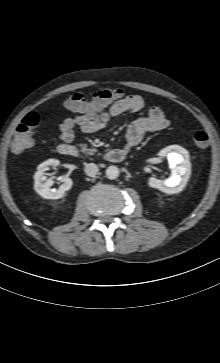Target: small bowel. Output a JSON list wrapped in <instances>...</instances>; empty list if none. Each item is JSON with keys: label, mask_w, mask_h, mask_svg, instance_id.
Masks as SVG:
<instances>
[{"label": "small bowel", "mask_w": 220, "mask_h": 363, "mask_svg": "<svg viewBox=\"0 0 220 363\" xmlns=\"http://www.w3.org/2000/svg\"><path fill=\"white\" fill-rule=\"evenodd\" d=\"M146 106L145 100L139 95H127L108 105H100L94 99L87 100L82 110L66 118L58 124L59 138L64 143H71L74 130L79 128L84 133L92 134L105 128L111 120L121 114H135ZM169 126V120L160 107H150L147 113L136 119L126 133V146L138 145L148 133L161 131Z\"/></svg>", "instance_id": "c3829d8e"}]
</instances>
